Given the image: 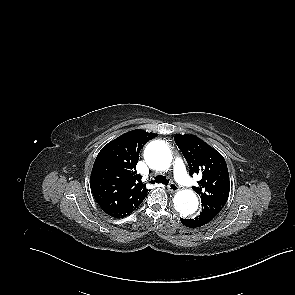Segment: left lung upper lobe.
Segmentation results:
<instances>
[{
    "mask_svg": "<svg viewBox=\"0 0 295 295\" xmlns=\"http://www.w3.org/2000/svg\"><path fill=\"white\" fill-rule=\"evenodd\" d=\"M175 142L189 165L190 176L194 173L202 176L198 187H193L201 197L202 211L220 212L230 191L229 173L223 156L195 135L177 134Z\"/></svg>",
    "mask_w": 295,
    "mask_h": 295,
    "instance_id": "1",
    "label": "left lung upper lobe"
}]
</instances>
